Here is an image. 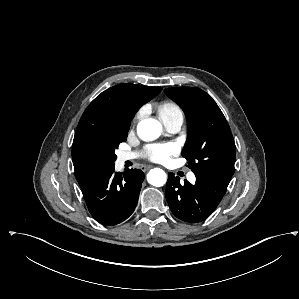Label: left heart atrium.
Here are the masks:
<instances>
[{
	"label": "left heart atrium",
	"mask_w": 299,
	"mask_h": 299,
	"mask_svg": "<svg viewBox=\"0 0 299 299\" xmlns=\"http://www.w3.org/2000/svg\"><path fill=\"white\" fill-rule=\"evenodd\" d=\"M147 158L154 162H168L171 156L178 153V147L174 143L153 144L146 148Z\"/></svg>",
	"instance_id": "left-heart-atrium-1"
}]
</instances>
